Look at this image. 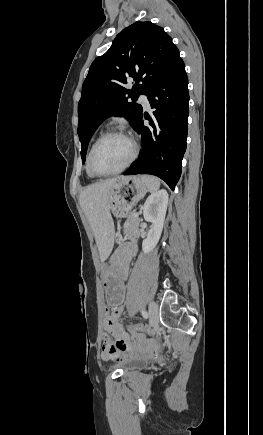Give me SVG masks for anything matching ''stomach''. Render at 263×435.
Here are the masks:
<instances>
[{"label": "stomach", "mask_w": 263, "mask_h": 435, "mask_svg": "<svg viewBox=\"0 0 263 435\" xmlns=\"http://www.w3.org/2000/svg\"><path fill=\"white\" fill-rule=\"evenodd\" d=\"M146 192L147 186L141 177H124L110 189V210L115 216H124L136 202L145 196ZM126 267V262L121 261L120 258H108L104 266L101 280L104 282L103 293L107 310H114L116 305H124L125 280L119 278L126 277Z\"/></svg>", "instance_id": "1"}]
</instances>
